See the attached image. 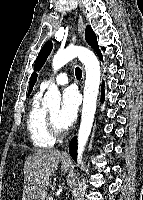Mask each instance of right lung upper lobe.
Masks as SVG:
<instances>
[{
	"mask_svg": "<svg viewBox=\"0 0 143 200\" xmlns=\"http://www.w3.org/2000/svg\"><path fill=\"white\" fill-rule=\"evenodd\" d=\"M36 79H37V74L35 72H33L31 78H30V84H29V92H28V95L31 93L32 89H33V86L36 82Z\"/></svg>",
	"mask_w": 143,
	"mask_h": 200,
	"instance_id": "1",
	"label": "right lung upper lobe"
}]
</instances>
